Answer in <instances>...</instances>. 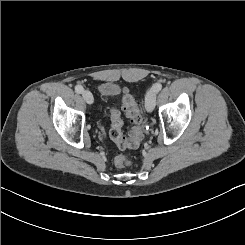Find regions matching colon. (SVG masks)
Returning a JSON list of instances; mask_svg holds the SVG:
<instances>
[{"mask_svg":"<svg viewBox=\"0 0 245 245\" xmlns=\"http://www.w3.org/2000/svg\"><path fill=\"white\" fill-rule=\"evenodd\" d=\"M122 108L132 125L130 133L127 137L123 135L120 115L117 111H112L109 134L120 149H134L142 139V116L138 102L128 91L123 93ZM114 162L118 168H125L130 164L128 158L122 154L116 156Z\"/></svg>","mask_w":245,"mask_h":245,"instance_id":"obj_1","label":"colon"}]
</instances>
